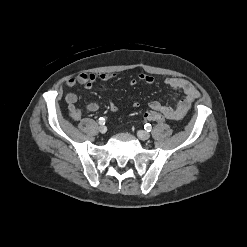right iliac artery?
Masks as SVG:
<instances>
[{
	"label": "right iliac artery",
	"mask_w": 247,
	"mask_h": 247,
	"mask_svg": "<svg viewBox=\"0 0 247 247\" xmlns=\"http://www.w3.org/2000/svg\"><path fill=\"white\" fill-rule=\"evenodd\" d=\"M99 124L104 125L105 124V119L103 117L99 118Z\"/></svg>",
	"instance_id": "82829eb1"
}]
</instances>
